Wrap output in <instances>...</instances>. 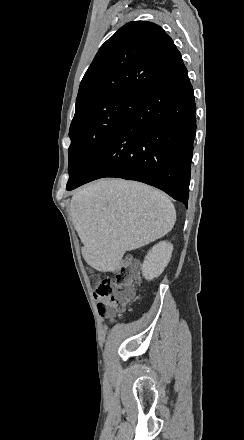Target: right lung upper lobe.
Returning <instances> with one entry per match:
<instances>
[{
	"mask_svg": "<svg viewBox=\"0 0 244 440\" xmlns=\"http://www.w3.org/2000/svg\"><path fill=\"white\" fill-rule=\"evenodd\" d=\"M182 65L180 52L160 26L129 22L99 49L81 81L76 106L117 95L142 97Z\"/></svg>",
	"mask_w": 244,
	"mask_h": 440,
	"instance_id": "right-lung-upper-lobe-1",
	"label": "right lung upper lobe"
}]
</instances>
